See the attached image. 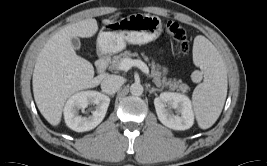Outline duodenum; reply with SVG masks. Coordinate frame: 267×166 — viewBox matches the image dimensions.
Segmentation results:
<instances>
[{"label":"duodenum","mask_w":267,"mask_h":166,"mask_svg":"<svg viewBox=\"0 0 267 166\" xmlns=\"http://www.w3.org/2000/svg\"><path fill=\"white\" fill-rule=\"evenodd\" d=\"M110 61H111L110 54L107 52H101L96 65L97 72L99 74L105 73L110 64Z\"/></svg>","instance_id":"obj_1"}]
</instances>
